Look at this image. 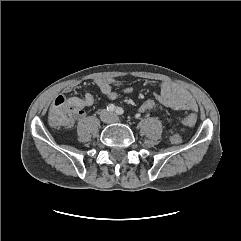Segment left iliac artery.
I'll return each instance as SVG.
<instances>
[{
    "mask_svg": "<svg viewBox=\"0 0 241 241\" xmlns=\"http://www.w3.org/2000/svg\"><path fill=\"white\" fill-rule=\"evenodd\" d=\"M116 113H117L118 115H122V114L124 113L123 108L117 107V108H116Z\"/></svg>",
    "mask_w": 241,
    "mask_h": 241,
    "instance_id": "44dca946",
    "label": "left iliac artery"
}]
</instances>
